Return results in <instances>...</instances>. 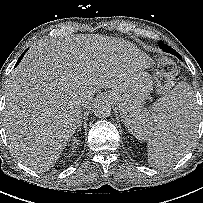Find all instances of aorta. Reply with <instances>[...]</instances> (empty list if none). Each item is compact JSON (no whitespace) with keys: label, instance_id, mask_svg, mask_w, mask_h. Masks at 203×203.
<instances>
[{"label":"aorta","instance_id":"1","mask_svg":"<svg viewBox=\"0 0 203 203\" xmlns=\"http://www.w3.org/2000/svg\"><path fill=\"white\" fill-rule=\"evenodd\" d=\"M112 111L111 104L106 100H100L94 104L93 112L99 118L110 116Z\"/></svg>","mask_w":203,"mask_h":203}]
</instances>
